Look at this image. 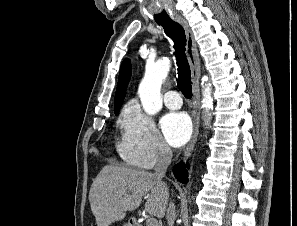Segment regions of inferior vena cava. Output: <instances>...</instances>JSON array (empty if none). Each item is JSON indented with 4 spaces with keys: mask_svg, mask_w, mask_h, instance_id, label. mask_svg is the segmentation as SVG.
Returning a JSON list of instances; mask_svg holds the SVG:
<instances>
[{
    "mask_svg": "<svg viewBox=\"0 0 297 226\" xmlns=\"http://www.w3.org/2000/svg\"><path fill=\"white\" fill-rule=\"evenodd\" d=\"M172 151L167 145H162L159 149L157 155V162L155 165V176L158 178H163L165 176L166 170L171 163ZM176 219V209L173 202L169 203L167 208V224L168 226H174V221Z\"/></svg>",
    "mask_w": 297,
    "mask_h": 226,
    "instance_id": "obj_1",
    "label": "inferior vena cava"
}]
</instances>
